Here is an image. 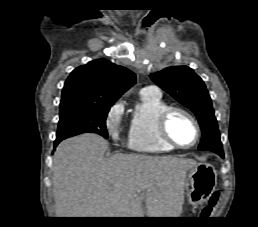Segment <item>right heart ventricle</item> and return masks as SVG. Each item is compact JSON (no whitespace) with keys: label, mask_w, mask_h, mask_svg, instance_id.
I'll return each mask as SVG.
<instances>
[{"label":"right heart ventricle","mask_w":258,"mask_h":227,"mask_svg":"<svg viewBox=\"0 0 258 227\" xmlns=\"http://www.w3.org/2000/svg\"><path fill=\"white\" fill-rule=\"evenodd\" d=\"M168 105L161 95L140 92L131 114L128 130V147L136 152L163 154L174 148L161 140L157 120Z\"/></svg>","instance_id":"1"}]
</instances>
